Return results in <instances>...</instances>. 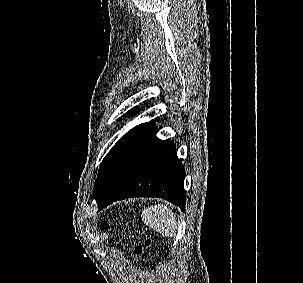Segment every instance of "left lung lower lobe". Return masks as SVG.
I'll use <instances>...</instances> for the list:
<instances>
[{
  "instance_id": "1",
  "label": "left lung lower lobe",
  "mask_w": 303,
  "mask_h": 283,
  "mask_svg": "<svg viewBox=\"0 0 303 283\" xmlns=\"http://www.w3.org/2000/svg\"><path fill=\"white\" fill-rule=\"evenodd\" d=\"M156 126L139 125L117 156L102 186L93 194L99 211L131 197H158L185 209V170L175 145L155 136Z\"/></svg>"
}]
</instances>
